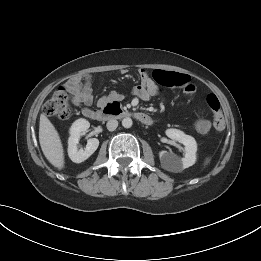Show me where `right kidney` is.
Returning a JSON list of instances; mask_svg holds the SVG:
<instances>
[{"label": "right kidney", "mask_w": 261, "mask_h": 261, "mask_svg": "<svg viewBox=\"0 0 261 261\" xmlns=\"http://www.w3.org/2000/svg\"><path fill=\"white\" fill-rule=\"evenodd\" d=\"M90 127L86 119L76 120L70 128V137L68 139V155L75 163H81L88 159L98 148L99 140L91 138L87 141L84 149H78L80 137L84 135Z\"/></svg>", "instance_id": "ca27d5eb"}]
</instances>
